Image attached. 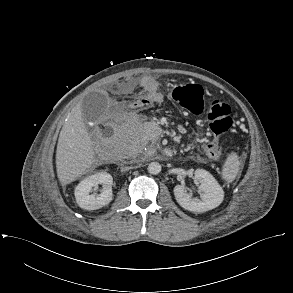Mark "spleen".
Listing matches in <instances>:
<instances>
[{
  "instance_id": "1",
  "label": "spleen",
  "mask_w": 293,
  "mask_h": 293,
  "mask_svg": "<svg viewBox=\"0 0 293 293\" xmlns=\"http://www.w3.org/2000/svg\"><path fill=\"white\" fill-rule=\"evenodd\" d=\"M238 170V157L235 153H231L223 166V177L227 180H232L236 176Z\"/></svg>"
}]
</instances>
